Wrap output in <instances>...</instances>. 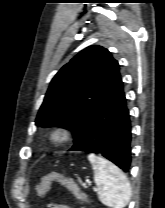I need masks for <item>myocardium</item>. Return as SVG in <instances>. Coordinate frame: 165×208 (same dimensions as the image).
Masks as SVG:
<instances>
[{"label": "myocardium", "instance_id": "f54148a6", "mask_svg": "<svg viewBox=\"0 0 165 208\" xmlns=\"http://www.w3.org/2000/svg\"><path fill=\"white\" fill-rule=\"evenodd\" d=\"M73 140V132L65 126H56L47 134V141L52 146H61Z\"/></svg>", "mask_w": 165, "mask_h": 208}]
</instances>
